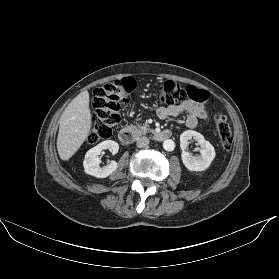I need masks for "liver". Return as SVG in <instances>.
<instances>
[{"instance_id": "1", "label": "liver", "mask_w": 279, "mask_h": 279, "mask_svg": "<svg viewBox=\"0 0 279 279\" xmlns=\"http://www.w3.org/2000/svg\"><path fill=\"white\" fill-rule=\"evenodd\" d=\"M59 124L57 151L62 160H69L91 130L88 91L81 92L69 103L59 119Z\"/></svg>"}]
</instances>
